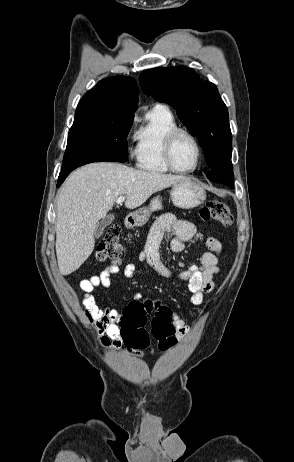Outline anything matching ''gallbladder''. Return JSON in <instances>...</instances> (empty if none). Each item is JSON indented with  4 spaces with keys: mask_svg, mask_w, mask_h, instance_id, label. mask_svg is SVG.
<instances>
[{
    "mask_svg": "<svg viewBox=\"0 0 294 462\" xmlns=\"http://www.w3.org/2000/svg\"><path fill=\"white\" fill-rule=\"evenodd\" d=\"M113 221V217L112 216H107L106 218H104L103 220H101L98 224H97V227H96V230L94 232V236L95 238H99L102 234H103V230L105 227H107L108 225H110Z\"/></svg>",
    "mask_w": 294,
    "mask_h": 462,
    "instance_id": "1",
    "label": "gallbladder"
}]
</instances>
